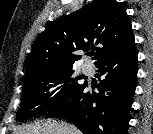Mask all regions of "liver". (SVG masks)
I'll return each instance as SVG.
<instances>
[{
    "mask_svg": "<svg viewBox=\"0 0 153 134\" xmlns=\"http://www.w3.org/2000/svg\"><path fill=\"white\" fill-rule=\"evenodd\" d=\"M13 134H81L73 125L55 120L36 122L19 128Z\"/></svg>",
    "mask_w": 153,
    "mask_h": 134,
    "instance_id": "6515ba94",
    "label": "liver"
}]
</instances>
